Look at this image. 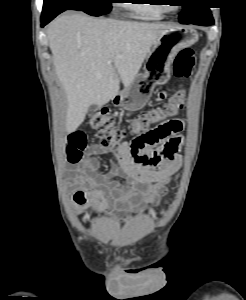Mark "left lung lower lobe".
<instances>
[{"label": "left lung lower lobe", "mask_w": 246, "mask_h": 300, "mask_svg": "<svg viewBox=\"0 0 246 300\" xmlns=\"http://www.w3.org/2000/svg\"><path fill=\"white\" fill-rule=\"evenodd\" d=\"M182 24H186V23H182ZM188 24H196V25H202V26H210V25H213L214 24V20H213V17L212 15L208 16V17H204V18H201L197 21H193L191 23H188Z\"/></svg>", "instance_id": "0a47b994"}]
</instances>
